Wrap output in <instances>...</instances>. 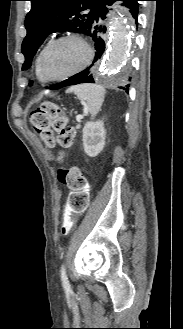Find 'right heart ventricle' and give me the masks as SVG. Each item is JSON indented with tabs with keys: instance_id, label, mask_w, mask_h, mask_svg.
<instances>
[{
	"instance_id": "1",
	"label": "right heart ventricle",
	"mask_w": 183,
	"mask_h": 329,
	"mask_svg": "<svg viewBox=\"0 0 183 329\" xmlns=\"http://www.w3.org/2000/svg\"><path fill=\"white\" fill-rule=\"evenodd\" d=\"M45 46L42 47V49L38 52V54L36 56V59H35V74H36L37 79L40 82H45L44 79L42 78L41 74H40V69H39L40 57H41L42 51L45 48Z\"/></svg>"
}]
</instances>
